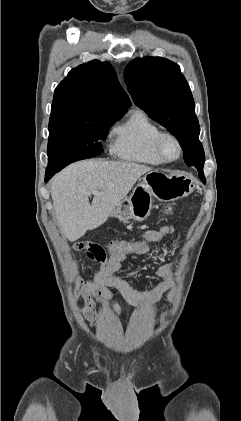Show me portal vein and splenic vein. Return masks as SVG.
Here are the masks:
<instances>
[{
  "label": "portal vein and splenic vein",
  "mask_w": 241,
  "mask_h": 421,
  "mask_svg": "<svg viewBox=\"0 0 241 421\" xmlns=\"http://www.w3.org/2000/svg\"><path fill=\"white\" fill-rule=\"evenodd\" d=\"M92 193H93L94 195H99V194H100L98 191H92Z\"/></svg>",
  "instance_id": "obj_1"
}]
</instances>
